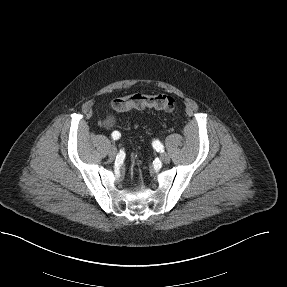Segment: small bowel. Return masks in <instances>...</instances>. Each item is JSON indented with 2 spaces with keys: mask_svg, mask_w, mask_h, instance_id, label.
<instances>
[{
  "mask_svg": "<svg viewBox=\"0 0 287 287\" xmlns=\"http://www.w3.org/2000/svg\"><path fill=\"white\" fill-rule=\"evenodd\" d=\"M114 124H115V117L112 115L108 116L103 122V125L107 128L112 127Z\"/></svg>",
  "mask_w": 287,
  "mask_h": 287,
  "instance_id": "small-bowel-1",
  "label": "small bowel"
}]
</instances>
